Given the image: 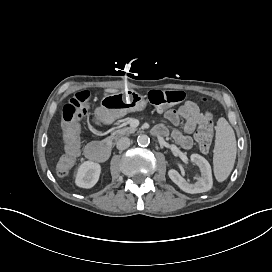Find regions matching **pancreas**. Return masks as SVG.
Segmentation results:
<instances>
[{
  "label": "pancreas",
  "instance_id": "1",
  "mask_svg": "<svg viewBox=\"0 0 272 272\" xmlns=\"http://www.w3.org/2000/svg\"><path fill=\"white\" fill-rule=\"evenodd\" d=\"M136 131H137V128L124 127V128L113 131V133L106 140L109 142H114V141H117L120 137L127 134L135 133Z\"/></svg>",
  "mask_w": 272,
  "mask_h": 272
}]
</instances>
